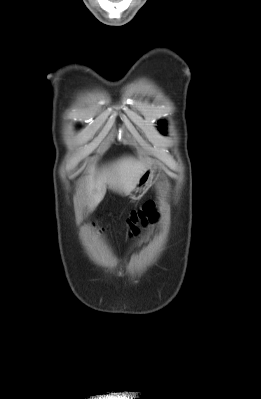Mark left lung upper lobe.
Wrapping results in <instances>:
<instances>
[{
    "label": "left lung upper lobe",
    "instance_id": "obj_1",
    "mask_svg": "<svg viewBox=\"0 0 261 399\" xmlns=\"http://www.w3.org/2000/svg\"><path fill=\"white\" fill-rule=\"evenodd\" d=\"M159 130L163 133H165V122H159Z\"/></svg>",
    "mask_w": 261,
    "mask_h": 399
}]
</instances>
